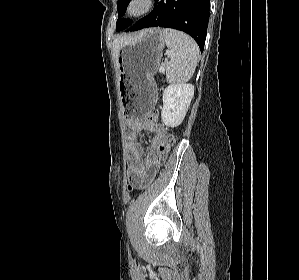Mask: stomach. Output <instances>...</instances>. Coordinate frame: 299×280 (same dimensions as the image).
I'll return each mask as SVG.
<instances>
[{
	"instance_id": "obj_1",
	"label": "stomach",
	"mask_w": 299,
	"mask_h": 280,
	"mask_svg": "<svg viewBox=\"0 0 299 280\" xmlns=\"http://www.w3.org/2000/svg\"><path fill=\"white\" fill-rule=\"evenodd\" d=\"M165 44L162 31L151 28L121 47L117 64L125 116L143 118L151 111L157 92L153 76L160 67Z\"/></svg>"
}]
</instances>
